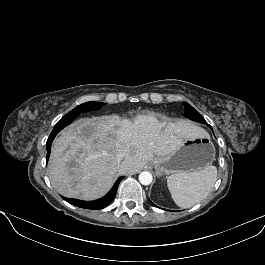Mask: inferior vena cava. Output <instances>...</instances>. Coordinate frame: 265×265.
<instances>
[{
  "label": "inferior vena cava",
  "instance_id": "1",
  "mask_svg": "<svg viewBox=\"0 0 265 265\" xmlns=\"http://www.w3.org/2000/svg\"><path fill=\"white\" fill-rule=\"evenodd\" d=\"M123 158H124L123 154H119L117 156L118 167H120L123 164Z\"/></svg>",
  "mask_w": 265,
  "mask_h": 265
}]
</instances>
